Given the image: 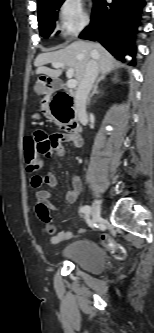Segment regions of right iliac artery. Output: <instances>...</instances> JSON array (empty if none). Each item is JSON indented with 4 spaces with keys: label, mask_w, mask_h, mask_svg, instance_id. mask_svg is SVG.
Returning a JSON list of instances; mask_svg holds the SVG:
<instances>
[{
    "label": "right iliac artery",
    "mask_w": 154,
    "mask_h": 333,
    "mask_svg": "<svg viewBox=\"0 0 154 333\" xmlns=\"http://www.w3.org/2000/svg\"><path fill=\"white\" fill-rule=\"evenodd\" d=\"M80 212H82L85 215V219L87 222L90 221V215H91V207L88 205L82 206L80 208Z\"/></svg>",
    "instance_id": "right-iliac-artery-1"
}]
</instances>
